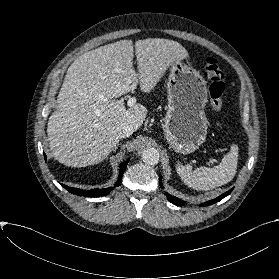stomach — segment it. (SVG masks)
I'll return each mask as SVG.
<instances>
[{
	"mask_svg": "<svg viewBox=\"0 0 279 279\" xmlns=\"http://www.w3.org/2000/svg\"><path fill=\"white\" fill-rule=\"evenodd\" d=\"M207 93L199 71L181 61L170 65L163 129L166 141L177 153H192L204 143L209 124L205 115Z\"/></svg>",
	"mask_w": 279,
	"mask_h": 279,
	"instance_id": "stomach-1",
	"label": "stomach"
}]
</instances>
